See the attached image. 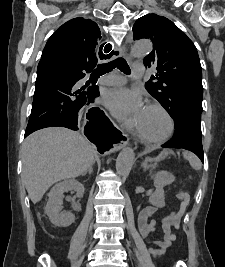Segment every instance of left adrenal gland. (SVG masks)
<instances>
[{
	"instance_id": "1",
	"label": "left adrenal gland",
	"mask_w": 225,
	"mask_h": 267,
	"mask_svg": "<svg viewBox=\"0 0 225 267\" xmlns=\"http://www.w3.org/2000/svg\"><path fill=\"white\" fill-rule=\"evenodd\" d=\"M142 167L144 170H147L149 168V165L147 163V160H145L143 163H142Z\"/></svg>"
}]
</instances>
